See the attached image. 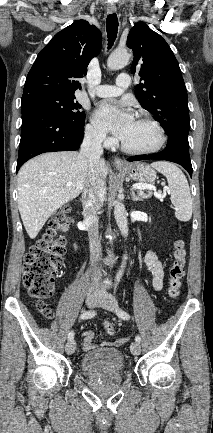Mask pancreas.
<instances>
[{"label": "pancreas", "mask_w": 213, "mask_h": 433, "mask_svg": "<svg viewBox=\"0 0 213 433\" xmlns=\"http://www.w3.org/2000/svg\"><path fill=\"white\" fill-rule=\"evenodd\" d=\"M152 194H153L152 190H148L147 193H144V191H142V190L139 191V195L142 198H150L152 196Z\"/></svg>", "instance_id": "pancreas-1"}]
</instances>
